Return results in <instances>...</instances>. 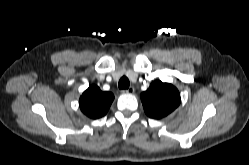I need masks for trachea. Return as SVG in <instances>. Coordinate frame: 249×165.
Masks as SVG:
<instances>
[{"label": "trachea", "instance_id": "1", "mask_svg": "<svg viewBox=\"0 0 249 165\" xmlns=\"http://www.w3.org/2000/svg\"><path fill=\"white\" fill-rule=\"evenodd\" d=\"M130 85L129 79L126 76L121 77L118 83L119 89H128Z\"/></svg>", "mask_w": 249, "mask_h": 165}]
</instances>
